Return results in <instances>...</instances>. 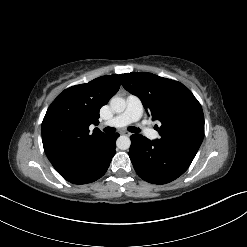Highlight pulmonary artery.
<instances>
[{
    "instance_id": "pulmonary-artery-1",
    "label": "pulmonary artery",
    "mask_w": 247,
    "mask_h": 247,
    "mask_svg": "<svg viewBox=\"0 0 247 247\" xmlns=\"http://www.w3.org/2000/svg\"><path fill=\"white\" fill-rule=\"evenodd\" d=\"M143 114V105L141 100L135 95H128L126 98V108L119 115L108 121L106 125L113 127H123L128 124L137 122L140 120ZM144 134L150 138H157V132L149 127L143 128Z\"/></svg>"
}]
</instances>
